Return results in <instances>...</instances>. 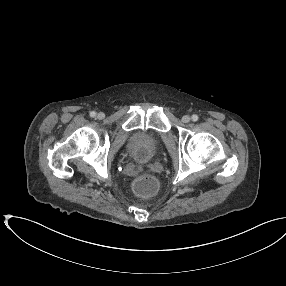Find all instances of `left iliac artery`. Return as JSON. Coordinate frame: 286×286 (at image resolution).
Masks as SVG:
<instances>
[{"label": "left iliac artery", "instance_id": "1", "mask_svg": "<svg viewBox=\"0 0 286 286\" xmlns=\"http://www.w3.org/2000/svg\"><path fill=\"white\" fill-rule=\"evenodd\" d=\"M192 120H193V121H197V120H198V116H197V115H195V114H194V115H192Z\"/></svg>", "mask_w": 286, "mask_h": 286}]
</instances>
